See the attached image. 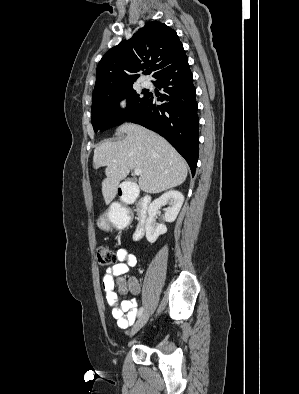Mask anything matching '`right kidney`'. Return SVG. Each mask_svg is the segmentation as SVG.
Instances as JSON below:
<instances>
[{
	"label": "right kidney",
	"mask_w": 299,
	"mask_h": 394,
	"mask_svg": "<svg viewBox=\"0 0 299 394\" xmlns=\"http://www.w3.org/2000/svg\"><path fill=\"white\" fill-rule=\"evenodd\" d=\"M184 202V196L181 192L171 190L158 199H155L148 207V218L146 220V239L149 243H154L158 237L167 232L164 224H157L155 220L156 212L165 204H169V208L165 212V221L174 222Z\"/></svg>",
	"instance_id": "right-kidney-1"
}]
</instances>
